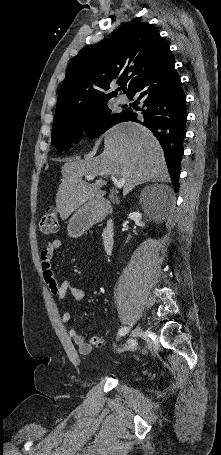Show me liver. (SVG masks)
Masks as SVG:
<instances>
[{"instance_id": "1", "label": "liver", "mask_w": 221, "mask_h": 455, "mask_svg": "<svg viewBox=\"0 0 221 455\" xmlns=\"http://www.w3.org/2000/svg\"><path fill=\"white\" fill-rule=\"evenodd\" d=\"M61 184L56 194V207L62 220L87 201L105 195L101 188L106 185L102 178L93 184L82 177L93 174L109 175L125 179L123 194L135 186L149 181L169 179L163 150L146 127L125 122L112 127L104 139L103 152L83 161H69L62 166Z\"/></svg>"}]
</instances>
